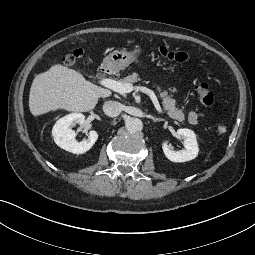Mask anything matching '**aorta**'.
<instances>
[{
	"mask_svg": "<svg viewBox=\"0 0 255 255\" xmlns=\"http://www.w3.org/2000/svg\"><path fill=\"white\" fill-rule=\"evenodd\" d=\"M126 129L130 133H137L143 129V123L139 118H129L125 123Z\"/></svg>",
	"mask_w": 255,
	"mask_h": 255,
	"instance_id": "1",
	"label": "aorta"
}]
</instances>
